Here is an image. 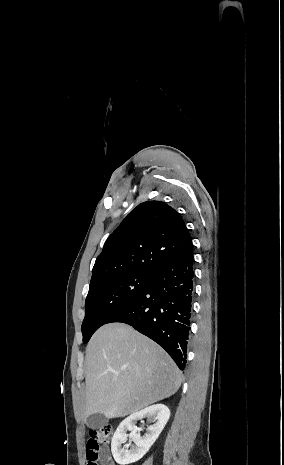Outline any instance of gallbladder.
Returning <instances> with one entry per match:
<instances>
[{"instance_id": "gallbladder-1", "label": "gallbladder", "mask_w": 284, "mask_h": 465, "mask_svg": "<svg viewBox=\"0 0 284 465\" xmlns=\"http://www.w3.org/2000/svg\"><path fill=\"white\" fill-rule=\"evenodd\" d=\"M107 423L108 419H106L104 415H92V417L86 419V425L90 427V429H101V427H104Z\"/></svg>"}]
</instances>
